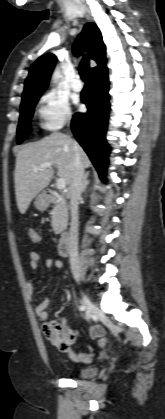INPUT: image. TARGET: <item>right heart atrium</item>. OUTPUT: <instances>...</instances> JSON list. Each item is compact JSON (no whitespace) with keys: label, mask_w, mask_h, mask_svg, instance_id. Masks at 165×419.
Listing matches in <instances>:
<instances>
[{"label":"right heart atrium","mask_w":165,"mask_h":419,"mask_svg":"<svg viewBox=\"0 0 165 419\" xmlns=\"http://www.w3.org/2000/svg\"><path fill=\"white\" fill-rule=\"evenodd\" d=\"M38 114L43 129L47 131L61 129L72 118V111L68 99L53 90L41 96L38 105Z\"/></svg>","instance_id":"obj_1"}]
</instances>
